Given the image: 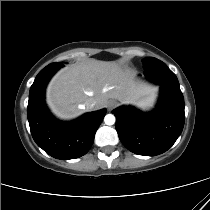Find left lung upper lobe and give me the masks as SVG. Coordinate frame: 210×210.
<instances>
[{
	"instance_id": "left-lung-upper-lobe-1",
	"label": "left lung upper lobe",
	"mask_w": 210,
	"mask_h": 210,
	"mask_svg": "<svg viewBox=\"0 0 210 210\" xmlns=\"http://www.w3.org/2000/svg\"><path fill=\"white\" fill-rule=\"evenodd\" d=\"M160 62V60H158V59H156V58H154V57H148V58H144L143 60H142V63H143V68L145 69V68H148V67H150V66H152V65H154V64H157V63H159Z\"/></svg>"
}]
</instances>
